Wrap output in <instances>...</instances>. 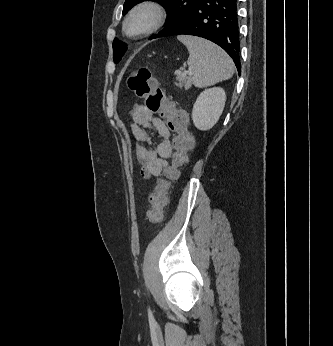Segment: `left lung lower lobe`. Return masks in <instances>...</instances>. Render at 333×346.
<instances>
[{
	"label": "left lung lower lobe",
	"mask_w": 333,
	"mask_h": 346,
	"mask_svg": "<svg viewBox=\"0 0 333 346\" xmlns=\"http://www.w3.org/2000/svg\"><path fill=\"white\" fill-rule=\"evenodd\" d=\"M194 35L222 47L241 73L237 0H197L186 16L159 37Z\"/></svg>",
	"instance_id": "1"
}]
</instances>
